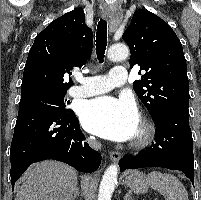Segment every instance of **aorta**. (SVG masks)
<instances>
[{
    "instance_id": "1",
    "label": "aorta",
    "mask_w": 201,
    "mask_h": 200,
    "mask_svg": "<svg viewBox=\"0 0 201 200\" xmlns=\"http://www.w3.org/2000/svg\"><path fill=\"white\" fill-rule=\"evenodd\" d=\"M129 55L128 47L124 44L112 45L107 57L111 61L125 60ZM119 167L117 164H111L105 171L99 187L98 200H111L115 183L117 182Z\"/></svg>"
}]
</instances>
